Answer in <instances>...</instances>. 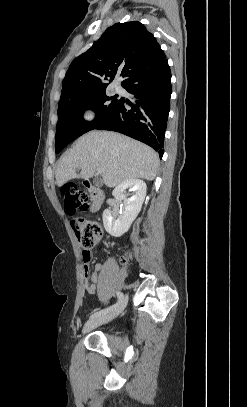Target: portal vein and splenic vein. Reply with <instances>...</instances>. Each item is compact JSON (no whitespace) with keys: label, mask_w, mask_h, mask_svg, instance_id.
<instances>
[{"label":"portal vein and splenic vein","mask_w":247,"mask_h":407,"mask_svg":"<svg viewBox=\"0 0 247 407\" xmlns=\"http://www.w3.org/2000/svg\"><path fill=\"white\" fill-rule=\"evenodd\" d=\"M102 173V170L101 169H98L97 170V174H101Z\"/></svg>","instance_id":"1"}]
</instances>
